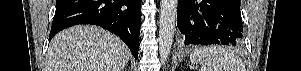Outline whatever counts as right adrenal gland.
Wrapping results in <instances>:
<instances>
[{"label":"right adrenal gland","mask_w":301,"mask_h":71,"mask_svg":"<svg viewBox=\"0 0 301 71\" xmlns=\"http://www.w3.org/2000/svg\"><path fill=\"white\" fill-rule=\"evenodd\" d=\"M124 71H127V65H126V67H125Z\"/></svg>","instance_id":"1"}]
</instances>
